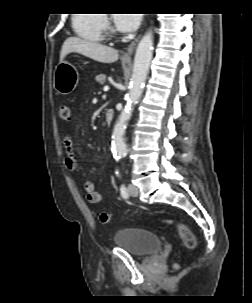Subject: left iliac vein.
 Here are the masks:
<instances>
[{
  "label": "left iliac vein",
  "mask_w": 252,
  "mask_h": 303,
  "mask_svg": "<svg viewBox=\"0 0 252 303\" xmlns=\"http://www.w3.org/2000/svg\"><path fill=\"white\" fill-rule=\"evenodd\" d=\"M128 192L133 197L138 196V188L134 184H129Z\"/></svg>",
  "instance_id": "1"
}]
</instances>
